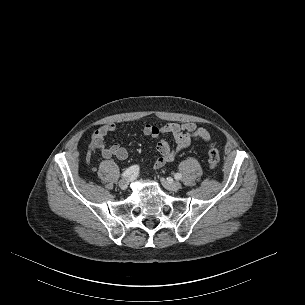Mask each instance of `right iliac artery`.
Returning <instances> with one entry per match:
<instances>
[{"mask_svg":"<svg viewBox=\"0 0 305 305\" xmlns=\"http://www.w3.org/2000/svg\"><path fill=\"white\" fill-rule=\"evenodd\" d=\"M139 172V166L138 165H133L131 167H129L128 169H126L123 173H122V177L126 178L129 177L131 175H135Z\"/></svg>","mask_w":305,"mask_h":305,"instance_id":"82829eb1","label":"right iliac artery"}]
</instances>
